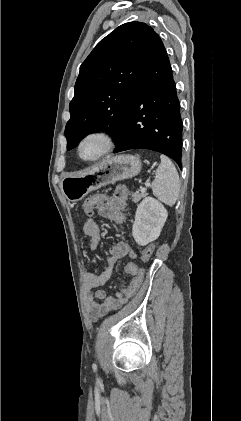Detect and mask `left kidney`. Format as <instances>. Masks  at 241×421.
Wrapping results in <instances>:
<instances>
[{
	"label": "left kidney",
	"instance_id": "1",
	"mask_svg": "<svg viewBox=\"0 0 241 421\" xmlns=\"http://www.w3.org/2000/svg\"><path fill=\"white\" fill-rule=\"evenodd\" d=\"M168 217L165 207L156 199L146 197L137 206L132 235L137 244L144 246L156 240Z\"/></svg>",
	"mask_w": 241,
	"mask_h": 421
}]
</instances>
